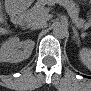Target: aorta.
Wrapping results in <instances>:
<instances>
[{"label": "aorta", "mask_w": 91, "mask_h": 91, "mask_svg": "<svg viewBox=\"0 0 91 91\" xmlns=\"http://www.w3.org/2000/svg\"><path fill=\"white\" fill-rule=\"evenodd\" d=\"M53 34L56 38L63 39L67 36V27L61 23H55L53 26Z\"/></svg>", "instance_id": "aorta-1"}]
</instances>
